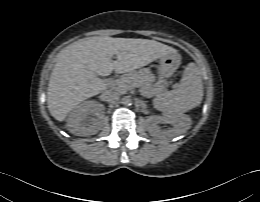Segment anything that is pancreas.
I'll return each mask as SVG.
<instances>
[{"mask_svg": "<svg viewBox=\"0 0 260 202\" xmlns=\"http://www.w3.org/2000/svg\"><path fill=\"white\" fill-rule=\"evenodd\" d=\"M154 82L155 76L150 69L143 68L124 74L116 80L109 81L108 86L119 93H125L133 87H139V91L143 96L151 98L161 95L167 84L164 80Z\"/></svg>", "mask_w": 260, "mask_h": 202, "instance_id": "cf45deb5", "label": "pancreas"}]
</instances>
